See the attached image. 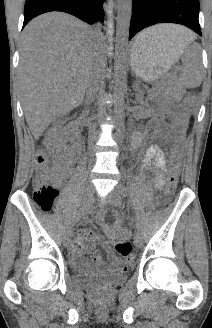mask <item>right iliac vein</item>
Listing matches in <instances>:
<instances>
[{"instance_id":"1","label":"right iliac vein","mask_w":212,"mask_h":328,"mask_svg":"<svg viewBox=\"0 0 212 328\" xmlns=\"http://www.w3.org/2000/svg\"><path fill=\"white\" fill-rule=\"evenodd\" d=\"M94 195V187L91 184H88L85 188L83 199L81 202V208H87L90 205V202ZM71 236H72V229L70 228L66 238H65V246H69L71 242Z\"/></svg>"}]
</instances>
